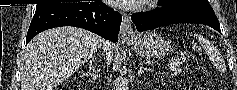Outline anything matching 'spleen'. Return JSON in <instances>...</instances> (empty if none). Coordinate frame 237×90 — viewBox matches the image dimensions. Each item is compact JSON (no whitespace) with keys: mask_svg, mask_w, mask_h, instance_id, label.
Here are the masks:
<instances>
[{"mask_svg":"<svg viewBox=\"0 0 237 90\" xmlns=\"http://www.w3.org/2000/svg\"><path fill=\"white\" fill-rule=\"evenodd\" d=\"M203 44H204V46H203L204 50H208V42H207V40H205V42H203Z\"/></svg>","mask_w":237,"mask_h":90,"instance_id":"spleen-1","label":"spleen"}]
</instances>
